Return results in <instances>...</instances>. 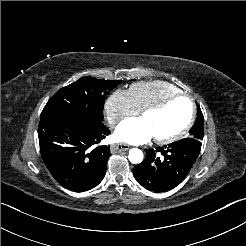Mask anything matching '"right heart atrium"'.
<instances>
[{
  "label": "right heart atrium",
  "instance_id": "right-heart-atrium-1",
  "mask_svg": "<svg viewBox=\"0 0 246 246\" xmlns=\"http://www.w3.org/2000/svg\"><path fill=\"white\" fill-rule=\"evenodd\" d=\"M105 113L108 122L113 126L123 119L134 116L136 110L129 92L123 89L114 90L105 103Z\"/></svg>",
  "mask_w": 246,
  "mask_h": 246
}]
</instances>
